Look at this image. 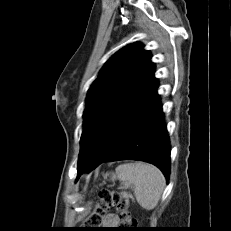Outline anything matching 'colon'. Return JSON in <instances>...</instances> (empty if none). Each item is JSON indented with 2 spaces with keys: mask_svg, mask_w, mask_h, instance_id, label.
<instances>
[{
  "mask_svg": "<svg viewBox=\"0 0 231 231\" xmlns=\"http://www.w3.org/2000/svg\"><path fill=\"white\" fill-rule=\"evenodd\" d=\"M111 209L118 212L119 220L122 224H134V219L128 210V202L117 191L110 189H103L98 193L95 210L86 220L87 224L91 226L102 224L105 215Z\"/></svg>",
  "mask_w": 231,
  "mask_h": 231,
  "instance_id": "1",
  "label": "colon"
}]
</instances>
